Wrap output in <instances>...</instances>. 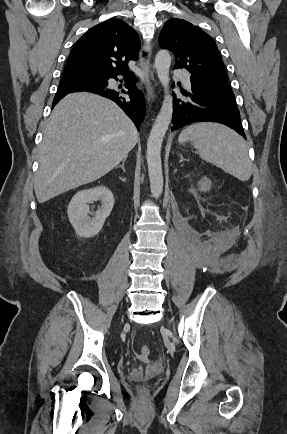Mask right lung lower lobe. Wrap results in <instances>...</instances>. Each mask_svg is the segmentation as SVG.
<instances>
[{
  "label": "right lung lower lobe",
  "instance_id": "1",
  "mask_svg": "<svg viewBox=\"0 0 287 434\" xmlns=\"http://www.w3.org/2000/svg\"><path fill=\"white\" fill-rule=\"evenodd\" d=\"M125 78V86L127 91H118L108 87V79L114 78L117 80L116 75L107 76L102 82H63L59 83L58 91L53 100V107L61 100L66 94L76 91H89L99 94L103 97L109 98L117 103L124 112L132 119L137 129L145 117V101L141 91L135 86V76L131 73H122ZM127 94L129 98L123 96Z\"/></svg>",
  "mask_w": 287,
  "mask_h": 434
}]
</instances>
